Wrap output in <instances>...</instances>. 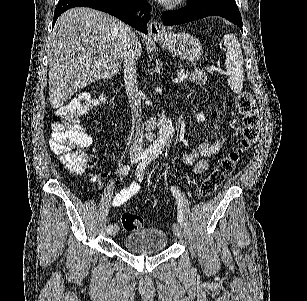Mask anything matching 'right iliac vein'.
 I'll return each instance as SVG.
<instances>
[{"label": "right iliac vein", "mask_w": 307, "mask_h": 301, "mask_svg": "<svg viewBox=\"0 0 307 301\" xmlns=\"http://www.w3.org/2000/svg\"><path fill=\"white\" fill-rule=\"evenodd\" d=\"M132 162H133V163H136V162H137V157H132ZM117 233H118V225L115 224V225L113 226L112 231H111V235H112V236H116Z\"/></svg>", "instance_id": "obj_1"}]
</instances>
